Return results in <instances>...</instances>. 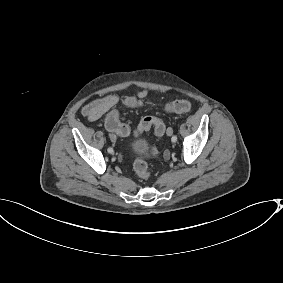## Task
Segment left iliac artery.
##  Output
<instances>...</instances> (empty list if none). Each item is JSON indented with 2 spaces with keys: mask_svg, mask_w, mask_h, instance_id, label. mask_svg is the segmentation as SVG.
<instances>
[{
  "mask_svg": "<svg viewBox=\"0 0 283 283\" xmlns=\"http://www.w3.org/2000/svg\"><path fill=\"white\" fill-rule=\"evenodd\" d=\"M172 142H176L177 141V136L176 135H173V137H172Z\"/></svg>",
  "mask_w": 283,
  "mask_h": 283,
  "instance_id": "1",
  "label": "left iliac artery"
}]
</instances>
